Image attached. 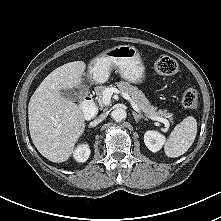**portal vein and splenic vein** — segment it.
<instances>
[{"label":"portal vein and splenic vein","mask_w":221,"mask_h":221,"mask_svg":"<svg viewBox=\"0 0 221 221\" xmlns=\"http://www.w3.org/2000/svg\"><path fill=\"white\" fill-rule=\"evenodd\" d=\"M114 94H120L124 99L128 100L131 104V107L138 113H141V110L138 108V106L135 104V102L132 100V98L125 92H121L119 91L117 88H107L104 92H103V102L105 105H109L110 101H111V97ZM150 119L155 120V121H159L161 123H163L165 125V127L169 128L170 123L167 119L160 117V116H156V115H152L149 116Z\"/></svg>","instance_id":"1"}]
</instances>
